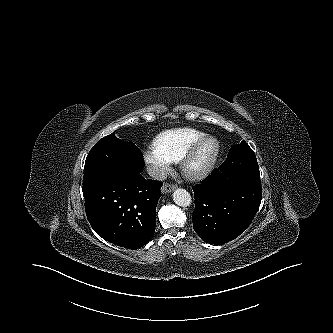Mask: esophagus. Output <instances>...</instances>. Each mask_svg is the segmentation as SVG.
Instances as JSON below:
<instances>
[{"instance_id": "obj_1", "label": "esophagus", "mask_w": 333, "mask_h": 333, "mask_svg": "<svg viewBox=\"0 0 333 333\" xmlns=\"http://www.w3.org/2000/svg\"><path fill=\"white\" fill-rule=\"evenodd\" d=\"M175 189H176V185L166 183L163 185L161 190H162V193H170Z\"/></svg>"}]
</instances>
